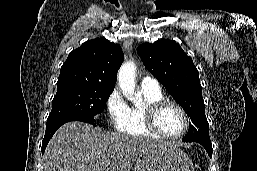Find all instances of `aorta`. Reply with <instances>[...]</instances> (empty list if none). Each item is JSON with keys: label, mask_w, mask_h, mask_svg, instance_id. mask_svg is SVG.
Masks as SVG:
<instances>
[{"label": "aorta", "mask_w": 257, "mask_h": 171, "mask_svg": "<svg viewBox=\"0 0 257 171\" xmlns=\"http://www.w3.org/2000/svg\"><path fill=\"white\" fill-rule=\"evenodd\" d=\"M135 78V64L131 61L124 63L118 72V84L123 95L134 103L137 102L134 98Z\"/></svg>", "instance_id": "aorta-1"}]
</instances>
